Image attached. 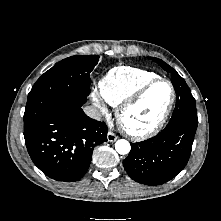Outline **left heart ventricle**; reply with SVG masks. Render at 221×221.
<instances>
[{"label":"left heart ventricle","mask_w":221,"mask_h":221,"mask_svg":"<svg viewBox=\"0 0 221 221\" xmlns=\"http://www.w3.org/2000/svg\"><path fill=\"white\" fill-rule=\"evenodd\" d=\"M171 96L167 83L153 86L140 104L131 109L125 116L127 124L138 130L152 127L164 113Z\"/></svg>","instance_id":"b2bd125f"}]
</instances>
